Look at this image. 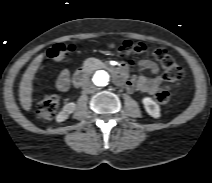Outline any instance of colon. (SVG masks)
I'll return each mask as SVG.
<instances>
[{
	"label": "colon",
	"mask_w": 212,
	"mask_h": 183,
	"mask_svg": "<svg viewBox=\"0 0 212 183\" xmlns=\"http://www.w3.org/2000/svg\"><path fill=\"white\" fill-rule=\"evenodd\" d=\"M122 55H141L150 52L142 43H133L125 41L120 45L114 46ZM74 51V46L69 43H57L47 52L48 56L55 60L65 59ZM153 57L160 63L163 70V78L167 83L175 84L183 79V71L176 63L175 59L163 49L151 51ZM155 99L160 104H165L170 99L167 90L161 88L155 93ZM59 107V98L55 94L45 96L37 106V115L44 120H50L54 117Z\"/></svg>",
	"instance_id": "1"
}]
</instances>
